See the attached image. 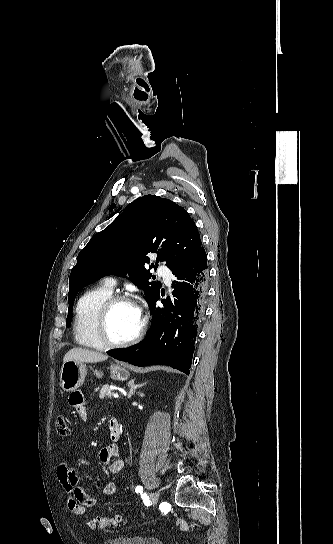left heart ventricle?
Returning <instances> with one entry per match:
<instances>
[{
    "instance_id": "obj_1",
    "label": "left heart ventricle",
    "mask_w": 333,
    "mask_h": 544,
    "mask_svg": "<svg viewBox=\"0 0 333 544\" xmlns=\"http://www.w3.org/2000/svg\"><path fill=\"white\" fill-rule=\"evenodd\" d=\"M140 320L135 305L129 303L116 305L108 319V332L111 339L114 341L129 339L138 330Z\"/></svg>"
}]
</instances>
